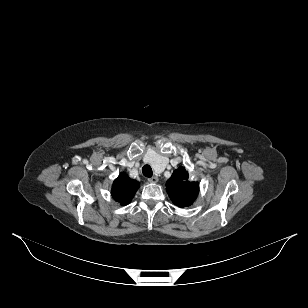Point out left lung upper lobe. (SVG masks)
Wrapping results in <instances>:
<instances>
[{"mask_svg": "<svg viewBox=\"0 0 308 308\" xmlns=\"http://www.w3.org/2000/svg\"><path fill=\"white\" fill-rule=\"evenodd\" d=\"M166 190L175 205L186 207L195 201L199 185L197 182H190L188 172L184 167H179L167 180Z\"/></svg>", "mask_w": 308, "mask_h": 308, "instance_id": "5c2ea615", "label": "left lung upper lobe"}]
</instances>
